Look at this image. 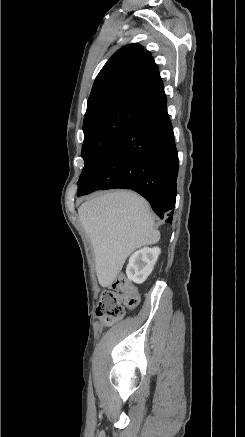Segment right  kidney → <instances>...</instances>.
<instances>
[{
    "label": "right kidney",
    "instance_id": "right-kidney-1",
    "mask_svg": "<svg viewBox=\"0 0 245 437\" xmlns=\"http://www.w3.org/2000/svg\"><path fill=\"white\" fill-rule=\"evenodd\" d=\"M161 250L158 247L143 248L129 258L127 277L137 284L143 283L151 274Z\"/></svg>",
    "mask_w": 245,
    "mask_h": 437
}]
</instances>
